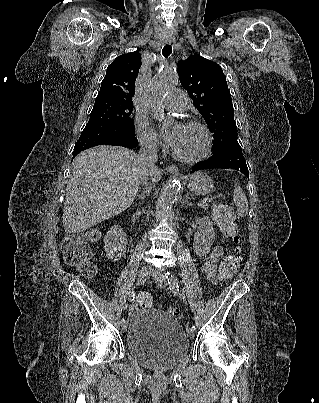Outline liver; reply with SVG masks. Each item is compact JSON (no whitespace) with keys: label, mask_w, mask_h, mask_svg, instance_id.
<instances>
[{"label":"liver","mask_w":319,"mask_h":403,"mask_svg":"<svg viewBox=\"0 0 319 403\" xmlns=\"http://www.w3.org/2000/svg\"><path fill=\"white\" fill-rule=\"evenodd\" d=\"M66 188L63 227L66 233L83 232L125 211L147 175L140 157L120 146H98L81 152L72 163ZM150 178L158 182L159 169Z\"/></svg>","instance_id":"liver-1"}]
</instances>
